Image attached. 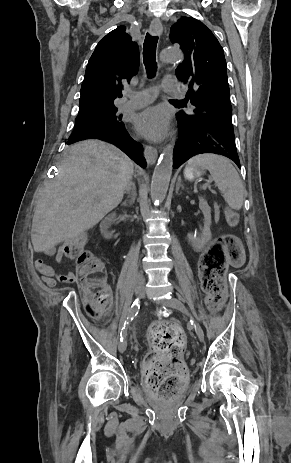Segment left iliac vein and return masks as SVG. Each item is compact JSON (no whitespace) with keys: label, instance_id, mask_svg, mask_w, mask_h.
Returning <instances> with one entry per match:
<instances>
[{"label":"left iliac vein","instance_id":"4c4485c4","mask_svg":"<svg viewBox=\"0 0 291 463\" xmlns=\"http://www.w3.org/2000/svg\"><path fill=\"white\" fill-rule=\"evenodd\" d=\"M161 302L164 303L165 305L169 306V307H173V308L178 309L179 311H181L184 314H188V311H187L186 307L184 306V304L180 300H178L177 298L172 297V298H169V299H162ZM194 330H195L196 335L198 336L199 340L201 342L204 341L203 329L197 322H194Z\"/></svg>","mask_w":291,"mask_h":463}]
</instances>
